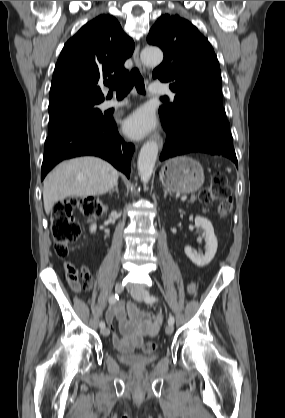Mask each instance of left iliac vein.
I'll return each mask as SVG.
<instances>
[{
	"instance_id": "4c4485c4",
	"label": "left iliac vein",
	"mask_w": 285,
	"mask_h": 418,
	"mask_svg": "<svg viewBox=\"0 0 285 418\" xmlns=\"http://www.w3.org/2000/svg\"><path fill=\"white\" fill-rule=\"evenodd\" d=\"M131 295L134 299L138 301L144 300L146 297L150 296L149 292L143 288L133 289L131 291ZM174 331L173 324H168L165 328V332L167 335H171Z\"/></svg>"
}]
</instances>
